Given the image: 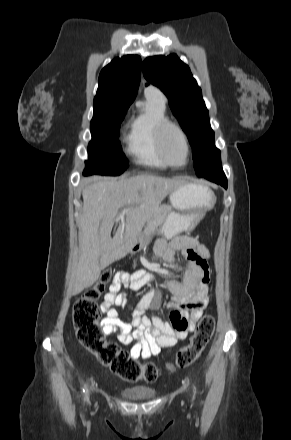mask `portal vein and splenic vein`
Masks as SVG:
<instances>
[{
  "mask_svg": "<svg viewBox=\"0 0 291 440\" xmlns=\"http://www.w3.org/2000/svg\"><path fill=\"white\" fill-rule=\"evenodd\" d=\"M127 210H128V208H124V210H123V214H124Z\"/></svg>",
  "mask_w": 291,
  "mask_h": 440,
  "instance_id": "18ae733b",
  "label": "portal vein and splenic vein"
}]
</instances>
